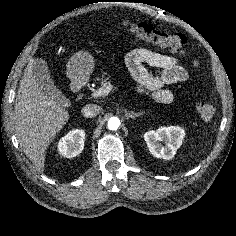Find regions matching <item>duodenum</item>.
<instances>
[{
  "mask_svg": "<svg viewBox=\"0 0 236 236\" xmlns=\"http://www.w3.org/2000/svg\"><path fill=\"white\" fill-rule=\"evenodd\" d=\"M83 87H84V83L81 80L76 79L71 84V91L77 94L83 89Z\"/></svg>",
  "mask_w": 236,
  "mask_h": 236,
  "instance_id": "410a0bca",
  "label": "duodenum"
}]
</instances>
